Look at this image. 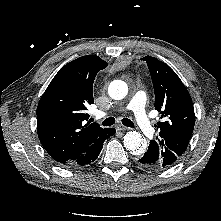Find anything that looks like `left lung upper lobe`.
<instances>
[{"instance_id": "obj_1", "label": "left lung upper lobe", "mask_w": 221, "mask_h": 221, "mask_svg": "<svg viewBox=\"0 0 221 221\" xmlns=\"http://www.w3.org/2000/svg\"><path fill=\"white\" fill-rule=\"evenodd\" d=\"M142 59L147 62L154 86L155 109L162 119L156 126L159 138L150 144H157L172 165L185 152L192 135L193 103L188 90L167 64L151 56Z\"/></svg>"}]
</instances>
